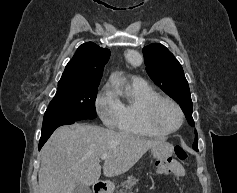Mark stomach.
Instances as JSON below:
<instances>
[{"instance_id":"obj_1","label":"stomach","mask_w":237,"mask_h":193,"mask_svg":"<svg viewBox=\"0 0 237 193\" xmlns=\"http://www.w3.org/2000/svg\"><path fill=\"white\" fill-rule=\"evenodd\" d=\"M151 153L153 157L156 159H165L171 155L172 146L165 141H161L151 148ZM113 189L114 186L109 185L107 193H113Z\"/></svg>"}]
</instances>
